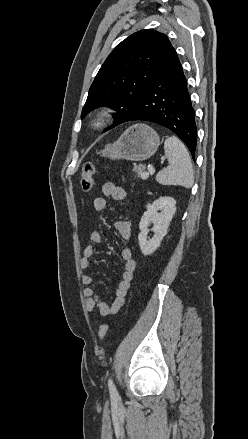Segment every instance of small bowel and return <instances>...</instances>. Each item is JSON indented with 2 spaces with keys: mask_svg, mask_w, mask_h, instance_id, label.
Returning <instances> with one entry per match:
<instances>
[{
  "mask_svg": "<svg viewBox=\"0 0 248 439\" xmlns=\"http://www.w3.org/2000/svg\"><path fill=\"white\" fill-rule=\"evenodd\" d=\"M102 196L96 197L93 201V207L97 212L103 211L107 206L106 198H111L115 201H124L126 199V191L123 187L117 186L111 182H106L101 186ZM115 229L119 236L128 240L131 236V224L129 221L120 219L115 222ZM90 241L93 244H100L103 242V234L100 230L95 229L90 234ZM94 254V248L92 245L85 247L83 256L80 260V267L86 270L90 267L91 258ZM120 256L124 261V270L121 275V280L115 291V299L112 304H107L100 300L99 296L95 293L91 287L93 279L88 274H83L81 282L85 286L83 294L86 299V307L90 312H97L101 316H110L118 313L124 306L125 297L130 287L133 274L136 268V262L132 257V251L130 248H123L120 252Z\"/></svg>",
  "mask_w": 248,
  "mask_h": 439,
  "instance_id": "obj_1",
  "label": "small bowel"
}]
</instances>
